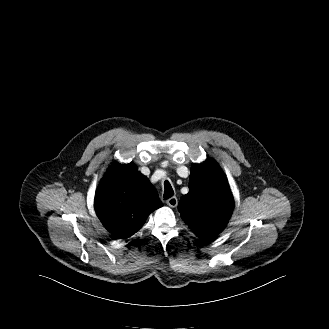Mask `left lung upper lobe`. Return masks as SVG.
Masks as SVG:
<instances>
[{"label": "left lung upper lobe", "instance_id": "1", "mask_svg": "<svg viewBox=\"0 0 329 329\" xmlns=\"http://www.w3.org/2000/svg\"><path fill=\"white\" fill-rule=\"evenodd\" d=\"M234 201L225 174L215 161L193 164L189 193L182 197L179 212L183 221L203 241H212L226 226Z\"/></svg>", "mask_w": 329, "mask_h": 329}]
</instances>
